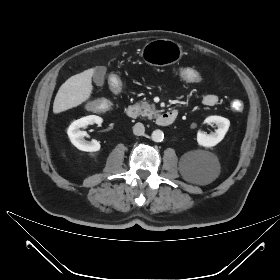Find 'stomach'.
<instances>
[{
  "mask_svg": "<svg viewBox=\"0 0 280 280\" xmlns=\"http://www.w3.org/2000/svg\"><path fill=\"white\" fill-rule=\"evenodd\" d=\"M183 55L180 44L169 39H156L145 44L141 57L153 66H165L177 62Z\"/></svg>",
  "mask_w": 280,
  "mask_h": 280,
  "instance_id": "obj_1",
  "label": "stomach"
}]
</instances>
